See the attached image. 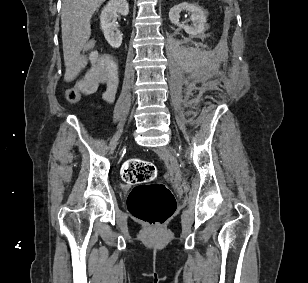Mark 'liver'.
I'll return each instance as SVG.
<instances>
[{"label": "liver", "mask_w": 308, "mask_h": 283, "mask_svg": "<svg viewBox=\"0 0 308 283\" xmlns=\"http://www.w3.org/2000/svg\"><path fill=\"white\" fill-rule=\"evenodd\" d=\"M105 0H63L61 28L67 66L79 55L91 35L90 20ZM68 74L66 75V78Z\"/></svg>", "instance_id": "liver-1"}]
</instances>
